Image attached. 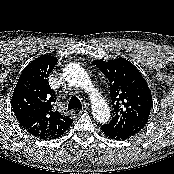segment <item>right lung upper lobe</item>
Wrapping results in <instances>:
<instances>
[{"mask_svg":"<svg viewBox=\"0 0 174 174\" xmlns=\"http://www.w3.org/2000/svg\"><path fill=\"white\" fill-rule=\"evenodd\" d=\"M58 59L43 55L30 62L20 75L11 104L20 125L40 139H55L64 134L73 119L55 108L56 94L48 77Z\"/></svg>","mask_w":174,"mask_h":174,"instance_id":"cb5924a9","label":"right lung upper lobe"}]
</instances>
